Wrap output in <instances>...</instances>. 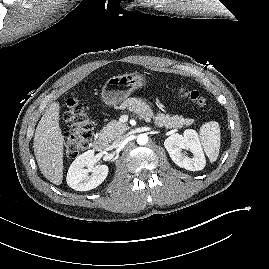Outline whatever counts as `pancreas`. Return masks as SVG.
<instances>
[{"label":"pancreas","instance_id":"1","mask_svg":"<svg viewBox=\"0 0 269 269\" xmlns=\"http://www.w3.org/2000/svg\"><path fill=\"white\" fill-rule=\"evenodd\" d=\"M194 123L193 119L184 118L183 116L178 115H169L163 113H157L154 117V124L156 127H165L166 129L171 128H182L183 126H190ZM129 127L119 121L113 120L107 124L106 127H103L100 132V138L111 142L116 138H120Z\"/></svg>","mask_w":269,"mask_h":269}]
</instances>
